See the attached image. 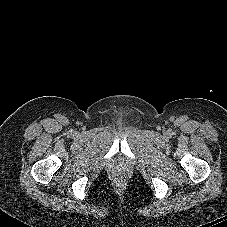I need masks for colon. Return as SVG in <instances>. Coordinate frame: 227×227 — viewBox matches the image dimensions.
Wrapping results in <instances>:
<instances>
[{"mask_svg": "<svg viewBox=\"0 0 227 227\" xmlns=\"http://www.w3.org/2000/svg\"><path fill=\"white\" fill-rule=\"evenodd\" d=\"M114 182L117 187H122L126 184L127 182V177L124 174H116L114 177Z\"/></svg>", "mask_w": 227, "mask_h": 227, "instance_id": "5ec220e1", "label": "colon"}]
</instances>
